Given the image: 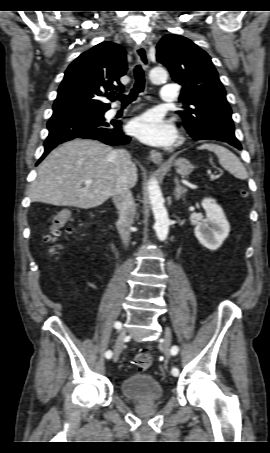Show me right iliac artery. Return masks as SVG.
<instances>
[{
  "label": "right iliac artery",
  "mask_w": 270,
  "mask_h": 453,
  "mask_svg": "<svg viewBox=\"0 0 270 453\" xmlns=\"http://www.w3.org/2000/svg\"><path fill=\"white\" fill-rule=\"evenodd\" d=\"M114 327L117 328V329H120L122 327V325H121L120 322H115ZM105 356L108 359L111 358L112 357V351L111 350L106 351Z\"/></svg>",
  "instance_id": "obj_1"
}]
</instances>
